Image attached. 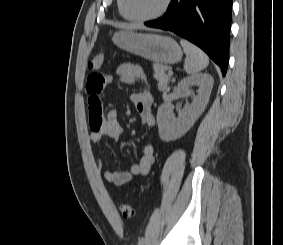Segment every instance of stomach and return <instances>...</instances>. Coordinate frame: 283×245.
<instances>
[{
	"instance_id": "stomach-1",
	"label": "stomach",
	"mask_w": 283,
	"mask_h": 245,
	"mask_svg": "<svg viewBox=\"0 0 283 245\" xmlns=\"http://www.w3.org/2000/svg\"><path fill=\"white\" fill-rule=\"evenodd\" d=\"M112 41L119 48L156 63L174 64L183 55L174 39L156 34L122 30L113 35Z\"/></svg>"
}]
</instances>
